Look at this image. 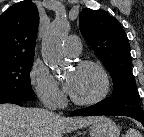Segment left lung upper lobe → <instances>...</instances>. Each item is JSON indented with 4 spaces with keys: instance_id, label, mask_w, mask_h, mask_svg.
I'll list each match as a JSON object with an SVG mask.
<instances>
[{
    "instance_id": "1",
    "label": "left lung upper lobe",
    "mask_w": 144,
    "mask_h": 137,
    "mask_svg": "<svg viewBox=\"0 0 144 137\" xmlns=\"http://www.w3.org/2000/svg\"><path fill=\"white\" fill-rule=\"evenodd\" d=\"M79 21L81 34L103 62L114 83L112 97L102 102L108 107H140L132 75L130 44L120 22L104 10L89 8L80 13Z\"/></svg>"
}]
</instances>
